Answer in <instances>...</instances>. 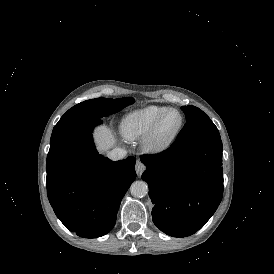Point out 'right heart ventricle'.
<instances>
[{
	"instance_id": "1",
	"label": "right heart ventricle",
	"mask_w": 274,
	"mask_h": 274,
	"mask_svg": "<svg viewBox=\"0 0 274 274\" xmlns=\"http://www.w3.org/2000/svg\"><path fill=\"white\" fill-rule=\"evenodd\" d=\"M165 107L149 105L126 114L120 123V133L127 140H139L156 124Z\"/></svg>"
}]
</instances>
